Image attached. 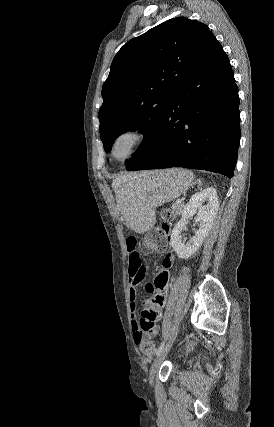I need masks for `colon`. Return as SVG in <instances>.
I'll return each mask as SVG.
<instances>
[{
    "mask_svg": "<svg viewBox=\"0 0 274 427\" xmlns=\"http://www.w3.org/2000/svg\"><path fill=\"white\" fill-rule=\"evenodd\" d=\"M173 217V211L170 208H165L162 212L163 223L161 226L153 227L145 236L142 238V243L139 246L140 258H147V255L155 248H167L168 246V234H169V222ZM131 255V254H130ZM154 340L145 341V345L140 346V353L145 355L138 356L139 364H148L149 358L152 357L154 350ZM193 345L191 340L186 342V348L190 349Z\"/></svg>",
    "mask_w": 274,
    "mask_h": 427,
    "instance_id": "5ec220e1",
    "label": "colon"
}]
</instances>
